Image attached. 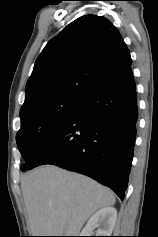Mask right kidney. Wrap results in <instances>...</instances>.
Masks as SVG:
<instances>
[{
  "mask_svg": "<svg viewBox=\"0 0 158 237\" xmlns=\"http://www.w3.org/2000/svg\"><path fill=\"white\" fill-rule=\"evenodd\" d=\"M116 218L117 210L114 207H104L91 216L80 236H91L96 228V236H111Z\"/></svg>",
  "mask_w": 158,
  "mask_h": 237,
  "instance_id": "1",
  "label": "right kidney"
}]
</instances>
